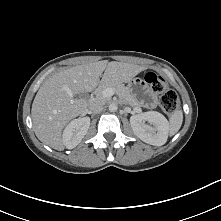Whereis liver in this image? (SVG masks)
<instances>
[{
  "instance_id": "obj_1",
  "label": "liver",
  "mask_w": 221,
  "mask_h": 221,
  "mask_svg": "<svg viewBox=\"0 0 221 221\" xmlns=\"http://www.w3.org/2000/svg\"><path fill=\"white\" fill-rule=\"evenodd\" d=\"M144 69L130 63L98 61L53 74L39 88L32 103L35 135L43 144L63 151V129L72 119L85 114L91 104L87 99L74 96L94 91L99 83L128 82Z\"/></svg>"
}]
</instances>
